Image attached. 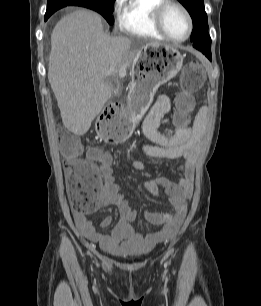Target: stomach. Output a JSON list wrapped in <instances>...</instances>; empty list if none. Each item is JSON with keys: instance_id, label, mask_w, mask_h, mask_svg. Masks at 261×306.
I'll return each mask as SVG.
<instances>
[{"instance_id": "stomach-1", "label": "stomach", "mask_w": 261, "mask_h": 306, "mask_svg": "<svg viewBox=\"0 0 261 306\" xmlns=\"http://www.w3.org/2000/svg\"><path fill=\"white\" fill-rule=\"evenodd\" d=\"M183 57L169 45L149 46L133 62L134 82L123 117L132 132L153 101L157 89L181 70Z\"/></svg>"}]
</instances>
